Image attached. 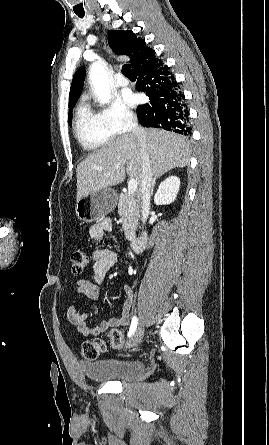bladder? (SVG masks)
Returning a JSON list of instances; mask_svg holds the SVG:
<instances>
[{
    "label": "bladder",
    "instance_id": "obj_1",
    "mask_svg": "<svg viewBox=\"0 0 269 445\" xmlns=\"http://www.w3.org/2000/svg\"><path fill=\"white\" fill-rule=\"evenodd\" d=\"M80 367L87 379L98 382H129L140 378L145 372L144 363L138 360L81 361Z\"/></svg>",
    "mask_w": 269,
    "mask_h": 445
}]
</instances>
